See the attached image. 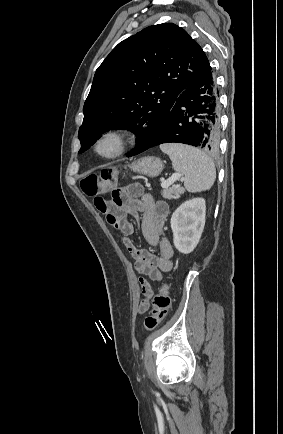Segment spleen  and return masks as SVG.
I'll return each instance as SVG.
<instances>
[{
  "label": "spleen",
  "mask_w": 283,
  "mask_h": 434,
  "mask_svg": "<svg viewBox=\"0 0 283 434\" xmlns=\"http://www.w3.org/2000/svg\"><path fill=\"white\" fill-rule=\"evenodd\" d=\"M160 149L169 155L177 173L184 175V186L189 192L209 190L216 179L212 159L201 150L183 144H163Z\"/></svg>",
  "instance_id": "3e777b00"
}]
</instances>
